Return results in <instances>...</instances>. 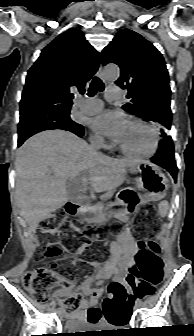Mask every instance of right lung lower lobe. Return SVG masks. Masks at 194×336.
<instances>
[{
	"label": "right lung lower lobe",
	"mask_w": 194,
	"mask_h": 336,
	"mask_svg": "<svg viewBox=\"0 0 194 336\" xmlns=\"http://www.w3.org/2000/svg\"><path fill=\"white\" fill-rule=\"evenodd\" d=\"M76 135H78L79 137H82L84 135V131L82 132H73ZM27 138L24 139H18V147L21 146L23 144V142L26 140Z\"/></svg>",
	"instance_id": "obj_1"
}]
</instances>
